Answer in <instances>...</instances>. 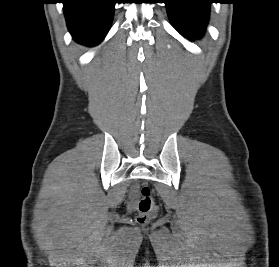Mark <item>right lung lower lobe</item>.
Instances as JSON below:
<instances>
[{"mask_svg":"<svg viewBox=\"0 0 279 267\" xmlns=\"http://www.w3.org/2000/svg\"><path fill=\"white\" fill-rule=\"evenodd\" d=\"M68 28L75 41L94 46L107 34L115 0H63Z\"/></svg>","mask_w":279,"mask_h":267,"instance_id":"1","label":"right lung lower lobe"}]
</instances>
